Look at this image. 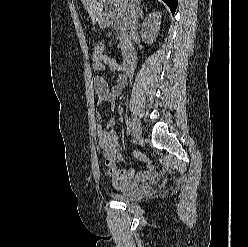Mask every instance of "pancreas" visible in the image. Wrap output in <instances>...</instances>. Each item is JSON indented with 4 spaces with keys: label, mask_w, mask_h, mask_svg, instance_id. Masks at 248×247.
I'll use <instances>...</instances> for the list:
<instances>
[{
    "label": "pancreas",
    "mask_w": 248,
    "mask_h": 247,
    "mask_svg": "<svg viewBox=\"0 0 248 247\" xmlns=\"http://www.w3.org/2000/svg\"><path fill=\"white\" fill-rule=\"evenodd\" d=\"M118 39L120 40L119 46L121 48L122 54H124L126 52V49H127L126 33L124 31H121L119 36H118Z\"/></svg>",
    "instance_id": "1"
}]
</instances>
